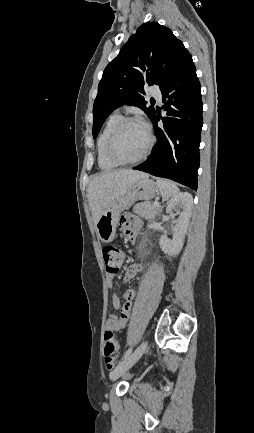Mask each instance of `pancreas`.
<instances>
[{
	"mask_svg": "<svg viewBox=\"0 0 254 433\" xmlns=\"http://www.w3.org/2000/svg\"><path fill=\"white\" fill-rule=\"evenodd\" d=\"M161 210L162 209L160 206H155L150 201L137 203L133 208V212L135 214H138L139 216L144 217L145 219L148 220L155 219L158 216V214L161 212Z\"/></svg>",
	"mask_w": 254,
	"mask_h": 433,
	"instance_id": "pancreas-1",
	"label": "pancreas"
}]
</instances>
